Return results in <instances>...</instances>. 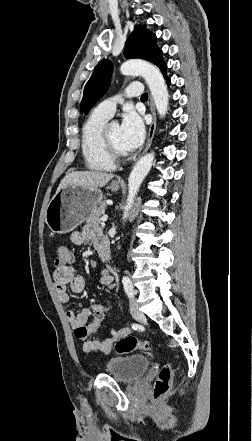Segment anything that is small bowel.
I'll return each mask as SVG.
<instances>
[{"label": "small bowel", "instance_id": "c3829d8e", "mask_svg": "<svg viewBox=\"0 0 252 441\" xmlns=\"http://www.w3.org/2000/svg\"><path fill=\"white\" fill-rule=\"evenodd\" d=\"M71 241L75 245H81L85 242H91L93 246L98 249L102 243H108L107 239L102 234L101 230L97 227H87L83 231H75L71 234ZM54 286L59 298V301L63 304H67L70 300L68 289L75 293H81L85 288V279L82 275L75 272L72 265L58 267L53 274ZM100 282L102 285L109 289H113L114 280L111 273L108 270H102L100 272ZM109 303H92L90 306L83 308L80 312L69 310L66 313L68 322L71 327L76 331L82 326H85L89 316L96 311L109 310ZM130 329H121L117 336L111 337L105 340H90L89 338L82 341L83 350L87 353H102L109 354L116 340L129 335Z\"/></svg>", "mask_w": 252, "mask_h": 441}]
</instances>
